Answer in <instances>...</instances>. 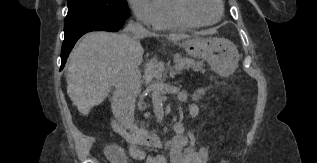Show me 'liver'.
Wrapping results in <instances>:
<instances>
[{
    "instance_id": "obj_1",
    "label": "liver",
    "mask_w": 317,
    "mask_h": 163,
    "mask_svg": "<svg viewBox=\"0 0 317 163\" xmlns=\"http://www.w3.org/2000/svg\"><path fill=\"white\" fill-rule=\"evenodd\" d=\"M167 37L172 41L189 38L186 34ZM140 38L96 31L75 46L67 64V93L81 114L88 115L105 100L121 69L131 64L138 68L144 53Z\"/></svg>"
}]
</instances>
